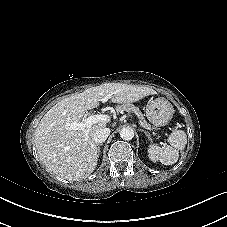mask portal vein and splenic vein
Segmentation results:
<instances>
[{"label":"portal vein and splenic vein","mask_w":227,"mask_h":227,"mask_svg":"<svg viewBox=\"0 0 227 227\" xmlns=\"http://www.w3.org/2000/svg\"><path fill=\"white\" fill-rule=\"evenodd\" d=\"M109 121H110V117L108 115L97 114V115L88 116L86 119L82 120L81 122L67 123L66 126L72 130H85L98 122L107 123ZM141 125L143 128L147 130H152V128L148 125H144L142 123Z\"/></svg>","instance_id":"obj_1"}]
</instances>
